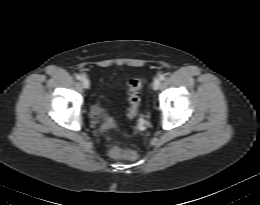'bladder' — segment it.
I'll return each mask as SVG.
<instances>
[{
  "mask_svg": "<svg viewBox=\"0 0 260 205\" xmlns=\"http://www.w3.org/2000/svg\"><path fill=\"white\" fill-rule=\"evenodd\" d=\"M89 112L94 119H103L108 116L106 110L98 102H95L90 106Z\"/></svg>",
  "mask_w": 260,
  "mask_h": 205,
  "instance_id": "1",
  "label": "bladder"
}]
</instances>
